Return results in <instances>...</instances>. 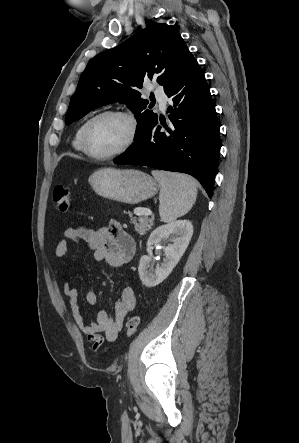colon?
Instances as JSON below:
<instances>
[{
    "label": "colon",
    "instance_id": "colon-1",
    "mask_svg": "<svg viewBox=\"0 0 299 443\" xmlns=\"http://www.w3.org/2000/svg\"><path fill=\"white\" fill-rule=\"evenodd\" d=\"M53 203L59 212L66 213L70 209V191L67 186L58 184L53 190ZM140 319L138 316H131L126 322V333L132 336L136 333Z\"/></svg>",
    "mask_w": 299,
    "mask_h": 443
}]
</instances>
